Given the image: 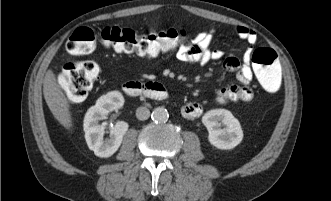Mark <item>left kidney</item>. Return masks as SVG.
Instances as JSON below:
<instances>
[{
	"instance_id": "5707ae66",
	"label": "left kidney",
	"mask_w": 331,
	"mask_h": 201,
	"mask_svg": "<svg viewBox=\"0 0 331 201\" xmlns=\"http://www.w3.org/2000/svg\"><path fill=\"white\" fill-rule=\"evenodd\" d=\"M202 123L208 130L210 144L218 149H232L243 139L240 122L229 110H210L202 117ZM221 126H224V128H221Z\"/></svg>"
}]
</instances>
